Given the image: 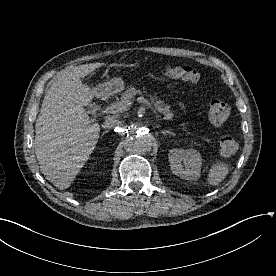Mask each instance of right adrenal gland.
<instances>
[{"instance_id": "obj_1", "label": "right adrenal gland", "mask_w": 276, "mask_h": 276, "mask_svg": "<svg viewBox=\"0 0 276 276\" xmlns=\"http://www.w3.org/2000/svg\"><path fill=\"white\" fill-rule=\"evenodd\" d=\"M108 131H104L102 135H104L105 133H107Z\"/></svg>"}]
</instances>
